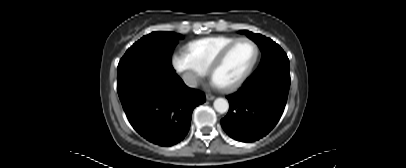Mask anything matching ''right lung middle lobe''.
I'll use <instances>...</instances> for the list:
<instances>
[{"instance_id": "dd1d6c3e", "label": "right lung middle lobe", "mask_w": 406, "mask_h": 168, "mask_svg": "<svg viewBox=\"0 0 406 168\" xmlns=\"http://www.w3.org/2000/svg\"><path fill=\"white\" fill-rule=\"evenodd\" d=\"M179 37L173 32H152L134 43L118 64L117 88L164 73H175L171 54Z\"/></svg>"}]
</instances>
